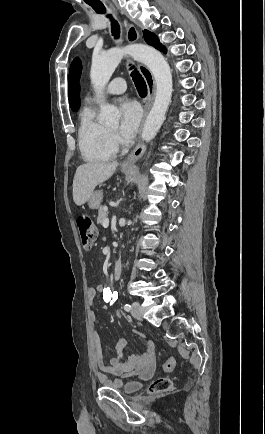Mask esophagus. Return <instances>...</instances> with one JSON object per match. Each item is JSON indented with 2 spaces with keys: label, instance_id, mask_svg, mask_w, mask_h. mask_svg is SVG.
<instances>
[{
  "label": "esophagus",
  "instance_id": "obj_1",
  "mask_svg": "<svg viewBox=\"0 0 265 434\" xmlns=\"http://www.w3.org/2000/svg\"><path fill=\"white\" fill-rule=\"evenodd\" d=\"M126 39L129 43H135L139 39V32L133 24H129L126 30ZM140 71L145 79L147 84L148 94L146 98V103L144 105V114L141 122V128L144 126L145 120L149 113V110L153 104L155 94H156V86L154 77L152 72L145 67L143 64H139ZM146 150V145L139 141L134 149L130 152L127 158L122 162L121 167L127 168L131 167L137 160H139Z\"/></svg>",
  "mask_w": 265,
  "mask_h": 434
}]
</instances>
